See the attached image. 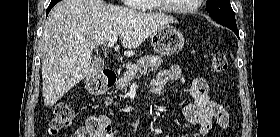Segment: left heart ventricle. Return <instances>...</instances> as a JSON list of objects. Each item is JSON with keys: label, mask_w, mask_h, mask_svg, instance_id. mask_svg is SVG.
Here are the masks:
<instances>
[{"label": "left heart ventricle", "mask_w": 280, "mask_h": 137, "mask_svg": "<svg viewBox=\"0 0 280 137\" xmlns=\"http://www.w3.org/2000/svg\"><path fill=\"white\" fill-rule=\"evenodd\" d=\"M166 2L171 7H182L192 5L195 0H166Z\"/></svg>", "instance_id": "b2bd125f"}]
</instances>
